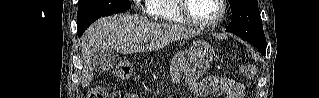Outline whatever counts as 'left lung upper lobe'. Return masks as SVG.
I'll use <instances>...</instances> for the list:
<instances>
[{"mask_svg":"<svg viewBox=\"0 0 319 98\" xmlns=\"http://www.w3.org/2000/svg\"><path fill=\"white\" fill-rule=\"evenodd\" d=\"M228 1L232 11V21L226 31L238 35L257 48H266L257 0Z\"/></svg>","mask_w":319,"mask_h":98,"instance_id":"5c2ea615","label":"left lung upper lobe"}]
</instances>
